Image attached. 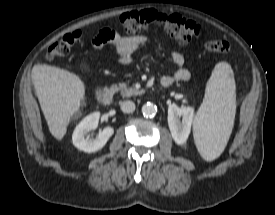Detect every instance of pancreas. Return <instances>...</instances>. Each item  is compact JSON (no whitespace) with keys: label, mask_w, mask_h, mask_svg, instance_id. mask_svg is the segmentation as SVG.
<instances>
[{"label":"pancreas","mask_w":275,"mask_h":215,"mask_svg":"<svg viewBox=\"0 0 275 215\" xmlns=\"http://www.w3.org/2000/svg\"><path fill=\"white\" fill-rule=\"evenodd\" d=\"M116 91H120L123 97H131L143 93V90H139L135 87H128L126 83H120L115 86Z\"/></svg>","instance_id":"pancreas-1"}]
</instances>
